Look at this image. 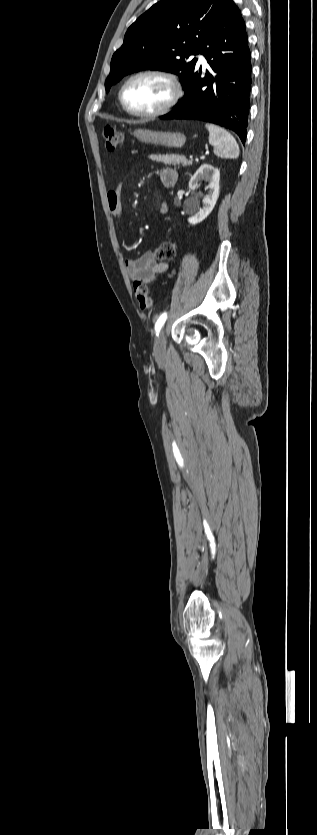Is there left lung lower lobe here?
I'll return each instance as SVG.
<instances>
[{
  "label": "left lung lower lobe",
  "instance_id": "left-lung-lower-lobe-1",
  "mask_svg": "<svg viewBox=\"0 0 317 835\" xmlns=\"http://www.w3.org/2000/svg\"><path fill=\"white\" fill-rule=\"evenodd\" d=\"M199 53L214 71L196 67L184 97L161 119H194L233 130L245 144L251 89V53L241 12L230 2Z\"/></svg>",
  "mask_w": 317,
  "mask_h": 835
}]
</instances>
